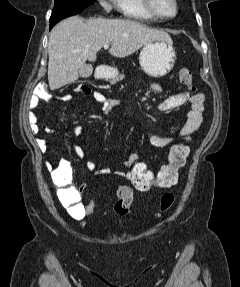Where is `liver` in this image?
<instances>
[{
	"instance_id": "liver-1",
	"label": "liver",
	"mask_w": 240,
	"mask_h": 287,
	"mask_svg": "<svg viewBox=\"0 0 240 287\" xmlns=\"http://www.w3.org/2000/svg\"><path fill=\"white\" fill-rule=\"evenodd\" d=\"M172 41L163 31L129 19L94 18L84 21L72 16L54 27L48 42V82L50 90L73 83L87 60L95 61L97 52L111 44L109 53L126 57L153 41Z\"/></svg>"
}]
</instances>
